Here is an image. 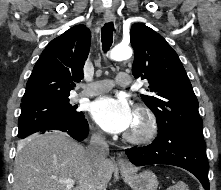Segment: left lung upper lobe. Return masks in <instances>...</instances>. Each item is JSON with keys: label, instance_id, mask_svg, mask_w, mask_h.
Wrapping results in <instances>:
<instances>
[{"label": "left lung upper lobe", "instance_id": "obj_1", "mask_svg": "<svg viewBox=\"0 0 221 190\" xmlns=\"http://www.w3.org/2000/svg\"><path fill=\"white\" fill-rule=\"evenodd\" d=\"M130 41L135 51L132 74L148 80L149 95L141 98L155 114L158 126H169L204 140L198 100L177 53L162 36L143 24L132 26Z\"/></svg>", "mask_w": 221, "mask_h": 190}]
</instances>
